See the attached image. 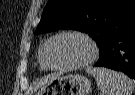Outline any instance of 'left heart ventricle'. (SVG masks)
Segmentation results:
<instances>
[{"label":"left heart ventricle","instance_id":"1","mask_svg":"<svg viewBox=\"0 0 135 95\" xmlns=\"http://www.w3.org/2000/svg\"><path fill=\"white\" fill-rule=\"evenodd\" d=\"M90 55L86 41L75 36L59 38L54 42L50 58L54 65L69 66L84 61Z\"/></svg>","mask_w":135,"mask_h":95}]
</instances>
